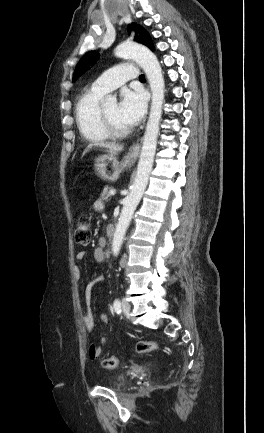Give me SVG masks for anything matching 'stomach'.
<instances>
[{"instance_id": "stomach-1", "label": "stomach", "mask_w": 264, "mask_h": 433, "mask_svg": "<svg viewBox=\"0 0 264 433\" xmlns=\"http://www.w3.org/2000/svg\"><path fill=\"white\" fill-rule=\"evenodd\" d=\"M133 165V160L123 159L121 162L114 155H100L94 159V169L97 175L108 182L116 181L124 169Z\"/></svg>"}]
</instances>
